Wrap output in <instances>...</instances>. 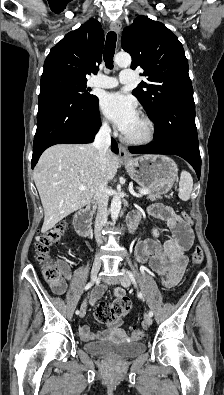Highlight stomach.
I'll return each instance as SVG.
<instances>
[{"label": "stomach", "mask_w": 224, "mask_h": 395, "mask_svg": "<svg viewBox=\"0 0 224 395\" xmlns=\"http://www.w3.org/2000/svg\"><path fill=\"white\" fill-rule=\"evenodd\" d=\"M124 163L128 174L134 181L157 194L167 193L177 180V165L166 156L143 155L131 158Z\"/></svg>", "instance_id": "1"}]
</instances>
